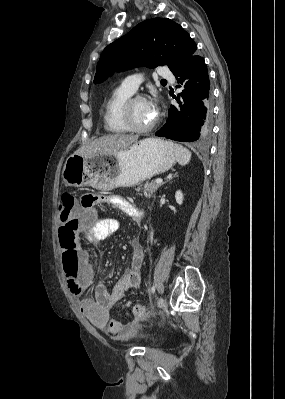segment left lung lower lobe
Segmentation results:
<instances>
[{"instance_id":"1","label":"left lung lower lobe","mask_w":285,"mask_h":399,"mask_svg":"<svg viewBox=\"0 0 285 399\" xmlns=\"http://www.w3.org/2000/svg\"><path fill=\"white\" fill-rule=\"evenodd\" d=\"M181 88L177 101L180 111L169 109L166 124L156 136L181 141L204 140L210 132L212 117V93L204 58L196 53L187 57L173 72Z\"/></svg>"}]
</instances>
